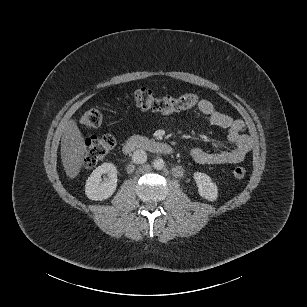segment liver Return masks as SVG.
<instances>
[{
	"instance_id": "liver-1",
	"label": "liver",
	"mask_w": 307,
	"mask_h": 307,
	"mask_svg": "<svg viewBox=\"0 0 307 307\" xmlns=\"http://www.w3.org/2000/svg\"><path fill=\"white\" fill-rule=\"evenodd\" d=\"M62 127L61 161L69 180L75 179L81 171L89 150L77 120L71 118L60 124Z\"/></svg>"
}]
</instances>
